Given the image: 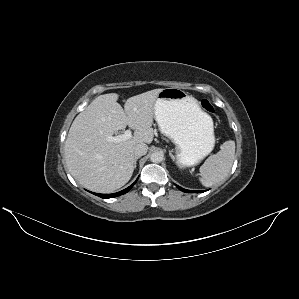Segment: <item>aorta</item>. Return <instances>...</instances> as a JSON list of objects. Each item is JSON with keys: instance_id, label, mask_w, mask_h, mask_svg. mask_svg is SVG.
I'll list each match as a JSON object with an SVG mask.
<instances>
[{"instance_id": "762f6f07", "label": "aorta", "mask_w": 299, "mask_h": 299, "mask_svg": "<svg viewBox=\"0 0 299 299\" xmlns=\"http://www.w3.org/2000/svg\"><path fill=\"white\" fill-rule=\"evenodd\" d=\"M164 155L161 152H154L150 155V160L153 163H160L163 161Z\"/></svg>"}]
</instances>
